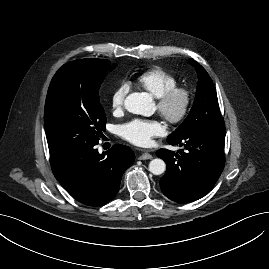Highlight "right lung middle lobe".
Instances as JSON below:
<instances>
[{"mask_svg":"<svg viewBox=\"0 0 269 269\" xmlns=\"http://www.w3.org/2000/svg\"><path fill=\"white\" fill-rule=\"evenodd\" d=\"M104 59H81L63 65L46 97L44 123L51 157L97 144L106 127L99 88L115 68Z\"/></svg>","mask_w":269,"mask_h":269,"instance_id":"1","label":"right lung middle lobe"}]
</instances>
